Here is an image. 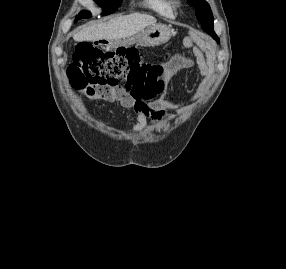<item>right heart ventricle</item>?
<instances>
[{"mask_svg": "<svg viewBox=\"0 0 286 269\" xmlns=\"http://www.w3.org/2000/svg\"><path fill=\"white\" fill-rule=\"evenodd\" d=\"M138 4L158 16L171 17L173 15L171 0H141Z\"/></svg>", "mask_w": 286, "mask_h": 269, "instance_id": "1", "label": "right heart ventricle"}]
</instances>
